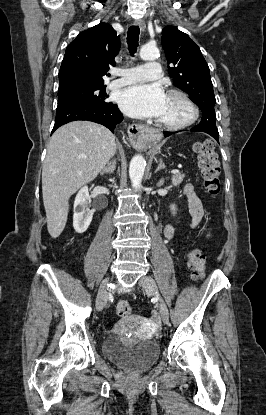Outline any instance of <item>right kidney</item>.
I'll use <instances>...</instances> for the list:
<instances>
[{"label":"right kidney","mask_w":266,"mask_h":415,"mask_svg":"<svg viewBox=\"0 0 266 415\" xmlns=\"http://www.w3.org/2000/svg\"><path fill=\"white\" fill-rule=\"evenodd\" d=\"M91 203L88 187L79 190L74 202L73 227L77 233H83L89 227L93 214L88 209Z\"/></svg>","instance_id":"obj_1"}]
</instances>
